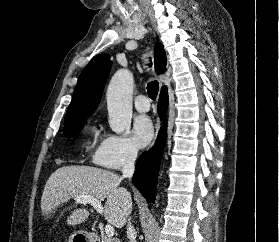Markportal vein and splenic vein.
Wrapping results in <instances>:
<instances>
[{"label":"portal vein and splenic vein","instance_id":"portal-vein-and-splenic-vein-1","mask_svg":"<svg viewBox=\"0 0 279 242\" xmlns=\"http://www.w3.org/2000/svg\"><path fill=\"white\" fill-rule=\"evenodd\" d=\"M78 203H83V204H91L98 212L103 213V207L101 204V201L99 199H96L91 196H77L74 198ZM114 227L110 224H107L105 226V233L107 234L108 237H112L114 235Z\"/></svg>","mask_w":279,"mask_h":242}]
</instances>
